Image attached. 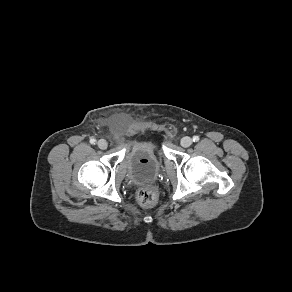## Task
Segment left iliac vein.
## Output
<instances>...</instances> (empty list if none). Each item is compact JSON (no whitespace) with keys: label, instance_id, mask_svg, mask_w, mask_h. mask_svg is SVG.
I'll list each match as a JSON object with an SVG mask.
<instances>
[{"label":"left iliac vein","instance_id":"1","mask_svg":"<svg viewBox=\"0 0 292 292\" xmlns=\"http://www.w3.org/2000/svg\"><path fill=\"white\" fill-rule=\"evenodd\" d=\"M182 147L187 148L192 144V139L188 136L183 137L180 141Z\"/></svg>","mask_w":292,"mask_h":292}]
</instances>
